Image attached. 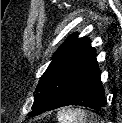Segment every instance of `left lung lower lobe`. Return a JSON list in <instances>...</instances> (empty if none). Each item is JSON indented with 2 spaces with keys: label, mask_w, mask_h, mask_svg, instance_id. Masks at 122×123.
I'll return each instance as SVG.
<instances>
[{
  "label": "left lung lower lobe",
  "mask_w": 122,
  "mask_h": 123,
  "mask_svg": "<svg viewBox=\"0 0 122 123\" xmlns=\"http://www.w3.org/2000/svg\"><path fill=\"white\" fill-rule=\"evenodd\" d=\"M105 103L104 87L97 60L94 58L71 80L64 93L47 111L69 105L99 110Z\"/></svg>",
  "instance_id": "left-lung-lower-lobe-1"
}]
</instances>
